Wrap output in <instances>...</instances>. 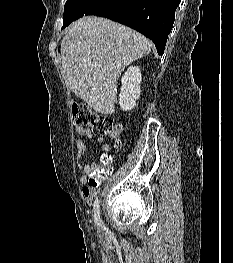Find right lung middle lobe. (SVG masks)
<instances>
[{
  "instance_id": "1",
  "label": "right lung middle lobe",
  "mask_w": 233,
  "mask_h": 263,
  "mask_svg": "<svg viewBox=\"0 0 233 263\" xmlns=\"http://www.w3.org/2000/svg\"><path fill=\"white\" fill-rule=\"evenodd\" d=\"M122 0H67L63 16V28L84 15H107L112 13Z\"/></svg>"
}]
</instances>
